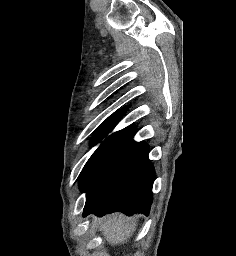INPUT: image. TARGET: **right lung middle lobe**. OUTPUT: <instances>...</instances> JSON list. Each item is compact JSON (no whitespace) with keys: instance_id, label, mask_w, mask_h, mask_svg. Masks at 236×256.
Returning <instances> with one entry per match:
<instances>
[{"instance_id":"1","label":"right lung middle lobe","mask_w":236,"mask_h":256,"mask_svg":"<svg viewBox=\"0 0 236 256\" xmlns=\"http://www.w3.org/2000/svg\"><path fill=\"white\" fill-rule=\"evenodd\" d=\"M118 118H110L103 123L92 138V144L99 142L116 125ZM136 131L135 126H128L123 130L107 137L93 153L80 173L79 186L84 191L115 158L129 149L135 141L132 139Z\"/></svg>"}]
</instances>
